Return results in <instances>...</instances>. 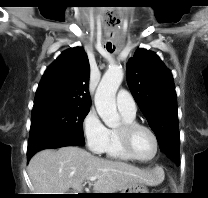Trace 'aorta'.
<instances>
[{
  "label": "aorta",
  "mask_w": 208,
  "mask_h": 198,
  "mask_svg": "<svg viewBox=\"0 0 208 198\" xmlns=\"http://www.w3.org/2000/svg\"><path fill=\"white\" fill-rule=\"evenodd\" d=\"M123 70L120 67L109 68L103 75L96 93L95 107L104 124L115 128L120 123L116 108V92L123 80Z\"/></svg>",
  "instance_id": "1"
}]
</instances>
